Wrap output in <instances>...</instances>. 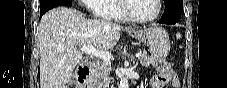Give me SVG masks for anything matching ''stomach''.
Here are the masks:
<instances>
[{
  "instance_id": "0dacf381",
  "label": "stomach",
  "mask_w": 227,
  "mask_h": 88,
  "mask_svg": "<svg viewBox=\"0 0 227 88\" xmlns=\"http://www.w3.org/2000/svg\"><path fill=\"white\" fill-rule=\"evenodd\" d=\"M129 34L134 39L145 43L154 57L163 59L170 51L169 35L162 27L153 26L147 29L131 31Z\"/></svg>"
}]
</instances>
